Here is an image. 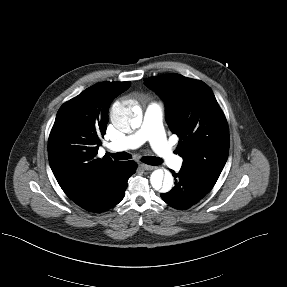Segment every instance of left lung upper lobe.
Returning a JSON list of instances; mask_svg holds the SVG:
<instances>
[{
    "label": "left lung upper lobe",
    "mask_w": 287,
    "mask_h": 287,
    "mask_svg": "<svg viewBox=\"0 0 287 287\" xmlns=\"http://www.w3.org/2000/svg\"><path fill=\"white\" fill-rule=\"evenodd\" d=\"M144 83L166 102V121L177 134L182 167L214 186L229 152V130L209 86L179 74L150 77Z\"/></svg>",
    "instance_id": "obj_1"
}]
</instances>
